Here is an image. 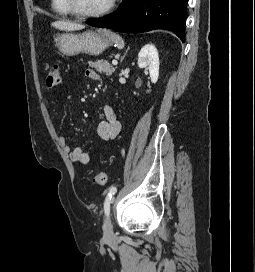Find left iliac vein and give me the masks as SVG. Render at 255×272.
Here are the masks:
<instances>
[{"instance_id":"left-iliac-vein-1","label":"left iliac vein","mask_w":255,"mask_h":272,"mask_svg":"<svg viewBox=\"0 0 255 272\" xmlns=\"http://www.w3.org/2000/svg\"><path fill=\"white\" fill-rule=\"evenodd\" d=\"M103 231H104V236L106 238H110L113 236V226H112L111 218L109 215L104 221Z\"/></svg>"}]
</instances>
